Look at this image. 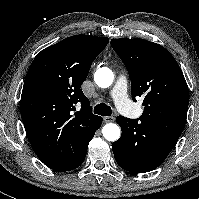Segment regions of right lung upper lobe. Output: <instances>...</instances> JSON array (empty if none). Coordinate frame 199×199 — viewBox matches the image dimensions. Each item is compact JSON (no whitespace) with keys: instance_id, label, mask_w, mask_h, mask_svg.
I'll list each match as a JSON object with an SVG mask.
<instances>
[{"instance_id":"cb5924a9","label":"right lung upper lobe","mask_w":199,"mask_h":199,"mask_svg":"<svg viewBox=\"0 0 199 199\" xmlns=\"http://www.w3.org/2000/svg\"><path fill=\"white\" fill-rule=\"evenodd\" d=\"M109 39L75 35L43 49L33 60L21 95V117L29 141L47 144V155L62 156L64 144L100 118L81 90L92 62ZM75 104L81 105L76 111ZM73 111H76L75 113Z\"/></svg>"}]
</instances>
